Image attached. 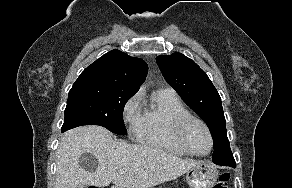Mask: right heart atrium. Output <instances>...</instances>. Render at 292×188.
Returning a JSON list of instances; mask_svg holds the SVG:
<instances>
[{"mask_svg":"<svg viewBox=\"0 0 292 188\" xmlns=\"http://www.w3.org/2000/svg\"><path fill=\"white\" fill-rule=\"evenodd\" d=\"M139 101V94H135L130 99H128L123 107L124 120L131 126L133 131L138 125L140 119Z\"/></svg>","mask_w":292,"mask_h":188,"instance_id":"obj_1","label":"right heart atrium"}]
</instances>
